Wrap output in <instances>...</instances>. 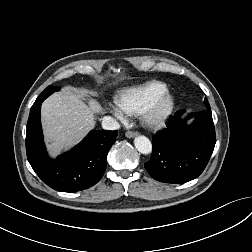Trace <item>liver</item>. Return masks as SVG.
Here are the masks:
<instances>
[{"instance_id":"obj_1","label":"liver","mask_w":252,"mask_h":252,"mask_svg":"<svg viewBox=\"0 0 252 252\" xmlns=\"http://www.w3.org/2000/svg\"><path fill=\"white\" fill-rule=\"evenodd\" d=\"M101 111L96 101L69 90L48 97L42 104L41 117L47 146L52 155L79 143L94 128L95 113Z\"/></svg>"}]
</instances>
